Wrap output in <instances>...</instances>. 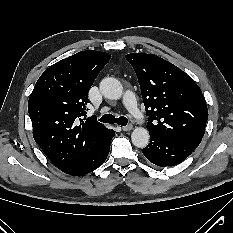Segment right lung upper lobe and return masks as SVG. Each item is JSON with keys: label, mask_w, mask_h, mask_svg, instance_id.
<instances>
[{"label": "right lung upper lobe", "mask_w": 233, "mask_h": 233, "mask_svg": "<svg viewBox=\"0 0 233 233\" xmlns=\"http://www.w3.org/2000/svg\"><path fill=\"white\" fill-rule=\"evenodd\" d=\"M110 58L100 51L78 52L50 66L30 94L33 137L60 170L92 155L112 133L95 118L86 119L85 111L90 87Z\"/></svg>", "instance_id": "obj_1"}]
</instances>
